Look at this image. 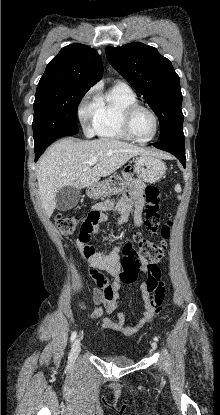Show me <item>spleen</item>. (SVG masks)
<instances>
[{"mask_svg":"<svg viewBox=\"0 0 220 415\" xmlns=\"http://www.w3.org/2000/svg\"><path fill=\"white\" fill-rule=\"evenodd\" d=\"M175 191H177V192H181V186H180L179 184H177V185L175 186ZM178 198L180 199L181 197L179 196Z\"/></svg>","mask_w":220,"mask_h":415,"instance_id":"3e777b00","label":"spleen"}]
</instances>
